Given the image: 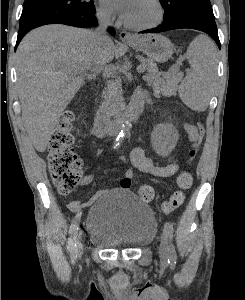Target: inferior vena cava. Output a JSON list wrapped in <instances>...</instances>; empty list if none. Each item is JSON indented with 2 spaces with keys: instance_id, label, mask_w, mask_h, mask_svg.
<instances>
[{
  "instance_id": "602c4592",
  "label": "inferior vena cava",
  "mask_w": 245,
  "mask_h": 300,
  "mask_svg": "<svg viewBox=\"0 0 245 300\" xmlns=\"http://www.w3.org/2000/svg\"><path fill=\"white\" fill-rule=\"evenodd\" d=\"M99 28L95 31V38L99 47H102L109 40L106 35V28L111 24L110 16L106 13L98 14Z\"/></svg>"
}]
</instances>
